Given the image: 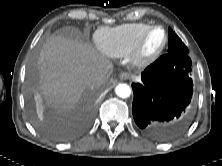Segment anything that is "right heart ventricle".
I'll return each instance as SVG.
<instances>
[{"mask_svg": "<svg viewBox=\"0 0 222 166\" xmlns=\"http://www.w3.org/2000/svg\"><path fill=\"white\" fill-rule=\"evenodd\" d=\"M149 26L148 23L138 22L100 29L95 34V42L98 48L110 57L126 56Z\"/></svg>", "mask_w": 222, "mask_h": 166, "instance_id": "1", "label": "right heart ventricle"}]
</instances>
